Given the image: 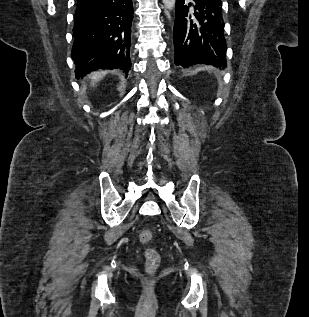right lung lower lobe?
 <instances>
[{
  "instance_id": "1",
  "label": "right lung lower lobe",
  "mask_w": 309,
  "mask_h": 317,
  "mask_svg": "<svg viewBox=\"0 0 309 317\" xmlns=\"http://www.w3.org/2000/svg\"><path fill=\"white\" fill-rule=\"evenodd\" d=\"M132 0H77L71 57L77 78L98 68L131 67Z\"/></svg>"
}]
</instances>
